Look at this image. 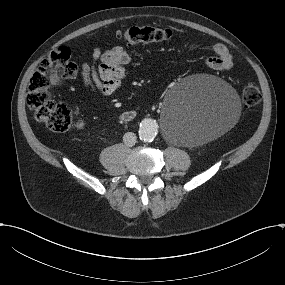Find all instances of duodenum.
Instances as JSON below:
<instances>
[{
    "mask_svg": "<svg viewBox=\"0 0 285 285\" xmlns=\"http://www.w3.org/2000/svg\"><path fill=\"white\" fill-rule=\"evenodd\" d=\"M136 117V111L133 109L125 110L120 114V119L123 122H130Z\"/></svg>",
    "mask_w": 285,
    "mask_h": 285,
    "instance_id": "duodenum-1",
    "label": "duodenum"
}]
</instances>
